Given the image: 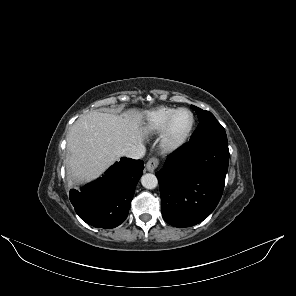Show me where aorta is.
Segmentation results:
<instances>
[{"instance_id": "1", "label": "aorta", "mask_w": 296, "mask_h": 296, "mask_svg": "<svg viewBox=\"0 0 296 296\" xmlns=\"http://www.w3.org/2000/svg\"><path fill=\"white\" fill-rule=\"evenodd\" d=\"M141 183L146 189H154L158 185V180L154 174L147 173L141 177Z\"/></svg>"}]
</instances>
